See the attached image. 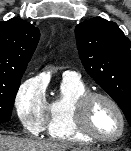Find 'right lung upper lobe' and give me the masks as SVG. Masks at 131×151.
Listing matches in <instances>:
<instances>
[{"instance_id": "right-lung-upper-lobe-1", "label": "right lung upper lobe", "mask_w": 131, "mask_h": 151, "mask_svg": "<svg viewBox=\"0 0 131 151\" xmlns=\"http://www.w3.org/2000/svg\"><path fill=\"white\" fill-rule=\"evenodd\" d=\"M39 38V29L25 20L0 22V76L23 75Z\"/></svg>"}]
</instances>
